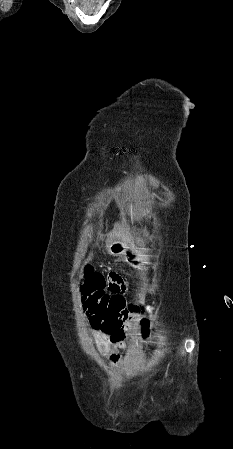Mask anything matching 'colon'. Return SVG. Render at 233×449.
Returning a JSON list of instances; mask_svg holds the SVG:
<instances>
[{
    "label": "colon",
    "mask_w": 233,
    "mask_h": 449,
    "mask_svg": "<svg viewBox=\"0 0 233 449\" xmlns=\"http://www.w3.org/2000/svg\"><path fill=\"white\" fill-rule=\"evenodd\" d=\"M82 301L89 314L93 328H128L134 323V332L147 334L151 327L150 319H139L142 303L124 301L121 296L107 295V276L86 264L83 269ZM137 319V320H136Z\"/></svg>",
    "instance_id": "1"
}]
</instances>
